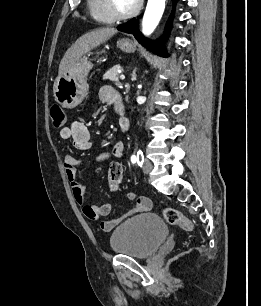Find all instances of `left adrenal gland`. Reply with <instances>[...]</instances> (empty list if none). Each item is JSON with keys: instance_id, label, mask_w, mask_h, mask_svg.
Instances as JSON below:
<instances>
[{"instance_id": "1", "label": "left adrenal gland", "mask_w": 261, "mask_h": 306, "mask_svg": "<svg viewBox=\"0 0 261 306\" xmlns=\"http://www.w3.org/2000/svg\"><path fill=\"white\" fill-rule=\"evenodd\" d=\"M132 80H133V81L136 80V70H134L133 73H132Z\"/></svg>"}]
</instances>
